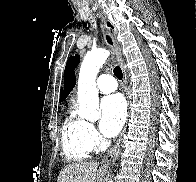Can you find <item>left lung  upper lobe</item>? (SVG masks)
<instances>
[{
    "mask_svg": "<svg viewBox=\"0 0 196 182\" xmlns=\"http://www.w3.org/2000/svg\"><path fill=\"white\" fill-rule=\"evenodd\" d=\"M110 26V23H108ZM112 27V26H111ZM79 55L71 56L65 67V87H64V98L70 93L76 83L74 68L77 67L79 63Z\"/></svg>",
    "mask_w": 196,
    "mask_h": 182,
    "instance_id": "left-lung-upper-lobe-1",
    "label": "left lung upper lobe"
}]
</instances>
